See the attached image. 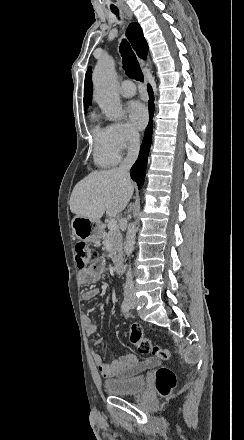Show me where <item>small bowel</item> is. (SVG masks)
Masks as SVG:
<instances>
[{
  "mask_svg": "<svg viewBox=\"0 0 244 440\" xmlns=\"http://www.w3.org/2000/svg\"><path fill=\"white\" fill-rule=\"evenodd\" d=\"M105 271V259L98 257L86 269L79 274V279L82 285H93L100 280ZM99 295L97 288H90L82 293V298L85 301L94 300ZM86 332L88 335H94L97 332V325L92 318L85 314L83 317ZM93 362L99 373L109 379H117L120 381L130 380L142 372L157 365V360H139L133 354L122 355L116 360L106 363L103 361L101 355L97 352H92Z\"/></svg>",
  "mask_w": 244,
  "mask_h": 440,
  "instance_id": "obj_1",
  "label": "small bowel"
}]
</instances>
